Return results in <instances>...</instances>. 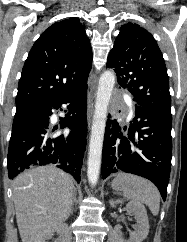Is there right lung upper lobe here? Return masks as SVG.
<instances>
[{
  "instance_id": "cb5924a9",
  "label": "right lung upper lobe",
  "mask_w": 187,
  "mask_h": 242,
  "mask_svg": "<svg viewBox=\"0 0 187 242\" xmlns=\"http://www.w3.org/2000/svg\"><path fill=\"white\" fill-rule=\"evenodd\" d=\"M92 50L78 18L54 23L34 43L25 61L16 109L45 101L87 84Z\"/></svg>"
}]
</instances>
